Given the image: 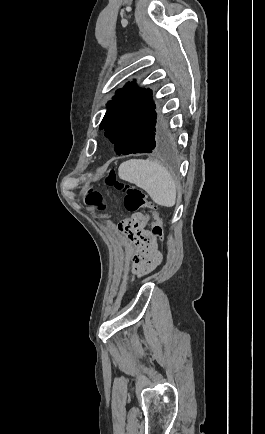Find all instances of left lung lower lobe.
<instances>
[{
	"instance_id": "0a47b994",
	"label": "left lung lower lobe",
	"mask_w": 265,
	"mask_h": 434,
	"mask_svg": "<svg viewBox=\"0 0 265 434\" xmlns=\"http://www.w3.org/2000/svg\"><path fill=\"white\" fill-rule=\"evenodd\" d=\"M177 143L174 132L166 127L154 126L129 138L121 147L115 148L117 155L135 153H168Z\"/></svg>"
}]
</instances>
